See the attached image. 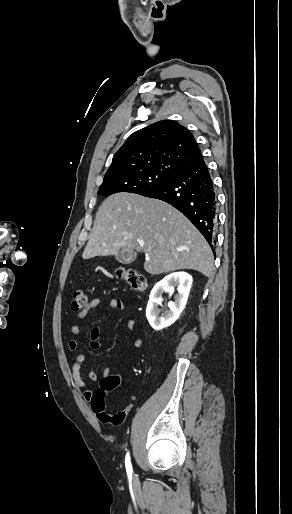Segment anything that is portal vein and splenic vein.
<instances>
[{"mask_svg": "<svg viewBox=\"0 0 292 514\" xmlns=\"http://www.w3.org/2000/svg\"><path fill=\"white\" fill-rule=\"evenodd\" d=\"M141 246H143V244H141ZM179 252H180V250H179ZM146 260H148V258H146Z\"/></svg>", "mask_w": 292, "mask_h": 514, "instance_id": "portal-vein-and-splenic-vein-1", "label": "portal vein and splenic vein"}]
</instances>
